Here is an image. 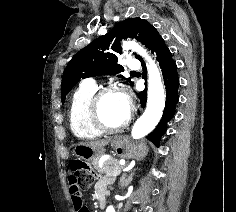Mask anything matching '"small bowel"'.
Returning a JSON list of instances; mask_svg holds the SVG:
<instances>
[{"label": "small bowel", "mask_w": 236, "mask_h": 212, "mask_svg": "<svg viewBox=\"0 0 236 212\" xmlns=\"http://www.w3.org/2000/svg\"><path fill=\"white\" fill-rule=\"evenodd\" d=\"M66 179L70 186L67 188L70 193L66 194L68 201L72 202L75 212H86L82 202V194L84 190L88 189V186L82 185L78 175H67ZM100 189H103V186H100Z\"/></svg>", "instance_id": "c3829d8e"}]
</instances>
